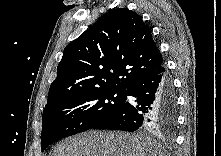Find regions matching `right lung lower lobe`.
I'll use <instances>...</instances> for the list:
<instances>
[{
  "label": "right lung lower lobe",
  "instance_id": "right-lung-lower-lobe-1",
  "mask_svg": "<svg viewBox=\"0 0 221 156\" xmlns=\"http://www.w3.org/2000/svg\"><path fill=\"white\" fill-rule=\"evenodd\" d=\"M177 102L172 79L162 65L132 83L125 103L93 129L135 131L143 127L173 129Z\"/></svg>",
  "mask_w": 221,
  "mask_h": 156
}]
</instances>
